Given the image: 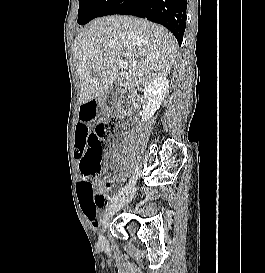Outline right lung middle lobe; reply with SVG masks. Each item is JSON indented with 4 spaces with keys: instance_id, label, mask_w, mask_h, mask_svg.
Returning <instances> with one entry per match:
<instances>
[{
    "instance_id": "obj_1",
    "label": "right lung middle lobe",
    "mask_w": 265,
    "mask_h": 273,
    "mask_svg": "<svg viewBox=\"0 0 265 273\" xmlns=\"http://www.w3.org/2000/svg\"><path fill=\"white\" fill-rule=\"evenodd\" d=\"M117 0H79L78 23L86 24L108 14Z\"/></svg>"
}]
</instances>
